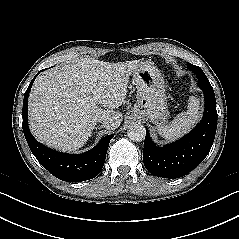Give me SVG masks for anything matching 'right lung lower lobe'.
Returning <instances> with one entry per match:
<instances>
[{"label": "right lung lower lobe", "instance_id": "1", "mask_svg": "<svg viewBox=\"0 0 239 239\" xmlns=\"http://www.w3.org/2000/svg\"><path fill=\"white\" fill-rule=\"evenodd\" d=\"M35 77L24 94L22 109L23 132L31 152L46 170L63 181L81 182L96 177L103 168L107 148L114 134L105 136L94 148L79 155L57 152L39 143L32 136L27 120L28 96Z\"/></svg>", "mask_w": 239, "mask_h": 239}]
</instances>
